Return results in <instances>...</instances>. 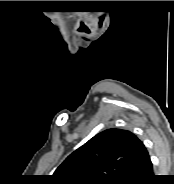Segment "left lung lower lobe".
I'll return each instance as SVG.
<instances>
[{"instance_id": "obj_1", "label": "left lung lower lobe", "mask_w": 174, "mask_h": 184, "mask_svg": "<svg viewBox=\"0 0 174 184\" xmlns=\"http://www.w3.org/2000/svg\"><path fill=\"white\" fill-rule=\"evenodd\" d=\"M155 178L149 154L143 145L136 154L125 184H151Z\"/></svg>"}]
</instances>
